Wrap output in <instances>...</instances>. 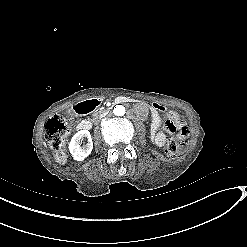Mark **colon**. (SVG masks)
Masks as SVG:
<instances>
[{"instance_id": "obj_1", "label": "colon", "mask_w": 247, "mask_h": 247, "mask_svg": "<svg viewBox=\"0 0 247 247\" xmlns=\"http://www.w3.org/2000/svg\"><path fill=\"white\" fill-rule=\"evenodd\" d=\"M146 108L155 109L157 112L165 114L169 107L167 104L158 101L148 100L145 103ZM72 123L69 119L54 115L50 117L45 124L46 139L54 152V156L58 162H63L66 155V140L71 130ZM188 144V132L182 129L180 134L168 140L166 152L170 158H175L178 151Z\"/></svg>"}]
</instances>
